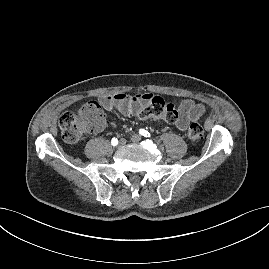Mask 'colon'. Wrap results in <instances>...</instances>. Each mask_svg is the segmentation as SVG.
I'll use <instances>...</instances> for the list:
<instances>
[{
    "instance_id": "5ec220e1",
    "label": "colon",
    "mask_w": 269,
    "mask_h": 269,
    "mask_svg": "<svg viewBox=\"0 0 269 269\" xmlns=\"http://www.w3.org/2000/svg\"><path fill=\"white\" fill-rule=\"evenodd\" d=\"M138 116L142 120L157 118L172 123L177 117V110L162 97L153 96L140 110ZM103 120L101 105L97 101H89L76 111H66L59 118L62 138L69 143L77 142L85 132L98 130ZM202 136V126L192 122L188 128L189 139L196 142Z\"/></svg>"
}]
</instances>
